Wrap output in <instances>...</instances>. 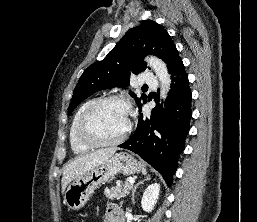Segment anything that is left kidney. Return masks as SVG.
Listing matches in <instances>:
<instances>
[{
	"mask_svg": "<svg viewBox=\"0 0 257 222\" xmlns=\"http://www.w3.org/2000/svg\"><path fill=\"white\" fill-rule=\"evenodd\" d=\"M159 191L160 184L158 183H153L145 189L141 200V207L144 211L151 212L154 209L159 197Z\"/></svg>",
	"mask_w": 257,
	"mask_h": 222,
	"instance_id": "5707ae66",
	"label": "left kidney"
}]
</instances>
